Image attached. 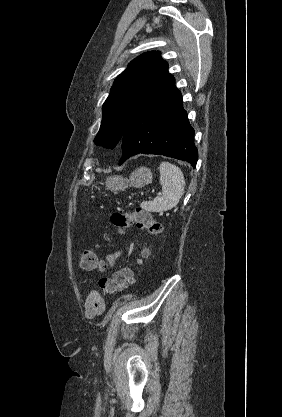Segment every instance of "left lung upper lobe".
Here are the masks:
<instances>
[{"label": "left lung upper lobe", "instance_id": "5c2ea615", "mask_svg": "<svg viewBox=\"0 0 282 417\" xmlns=\"http://www.w3.org/2000/svg\"><path fill=\"white\" fill-rule=\"evenodd\" d=\"M167 74L168 64L158 51L144 53L131 61L113 83L102 108V123L94 142L113 149L121 141L130 115Z\"/></svg>", "mask_w": 282, "mask_h": 417}]
</instances>
